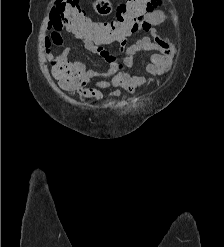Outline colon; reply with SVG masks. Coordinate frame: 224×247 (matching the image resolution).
<instances>
[{
  "label": "colon",
  "mask_w": 224,
  "mask_h": 247,
  "mask_svg": "<svg viewBox=\"0 0 224 247\" xmlns=\"http://www.w3.org/2000/svg\"><path fill=\"white\" fill-rule=\"evenodd\" d=\"M160 4L161 0H126L117 6L115 17L109 21L91 20L78 0H55L53 6L64 25L78 38L111 43L135 32L142 19ZM52 72L68 89L77 88L85 73L81 65L60 59L53 61Z\"/></svg>",
  "instance_id": "obj_1"
}]
</instances>
